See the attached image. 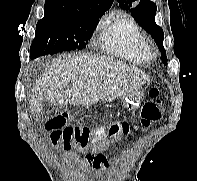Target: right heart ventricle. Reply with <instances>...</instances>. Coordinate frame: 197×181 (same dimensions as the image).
Masks as SVG:
<instances>
[{"instance_id": "e07e8e85", "label": "right heart ventricle", "mask_w": 197, "mask_h": 181, "mask_svg": "<svg viewBox=\"0 0 197 181\" xmlns=\"http://www.w3.org/2000/svg\"><path fill=\"white\" fill-rule=\"evenodd\" d=\"M98 48L108 55L136 64L150 60L141 28L131 16L122 13L102 21Z\"/></svg>"}]
</instances>
